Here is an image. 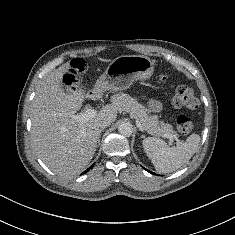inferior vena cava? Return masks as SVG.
I'll return each mask as SVG.
<instances>
[{
  "label": "inferior vena cava",
  "mask_w": 235,
  "mask_h": 235,
  "mask_svg": "<svg viewBox=\"0 0 235 235\" xmlns=\"http://www.w3.org/2000/svg\"><path fill=\"white\" fill-rule=\"evenodd\" d=\"M111 124V121L109 119H103L98 123L99 129H104L108 127Z\"/></svg>",
  "instance_id": "1"
}]
</instances>
